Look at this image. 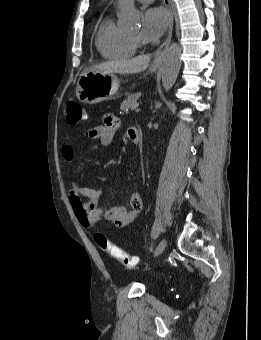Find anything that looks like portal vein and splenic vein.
<instances>
[{"label": "portal vein and splenic vein", "mask_w": 261, "mask_h": 340, "mask_svg": "<svg viewBox=\"0 0 261 340\" xmlns=\"http://www.w3.org/2000/svg\"><path fill=\"white\" fill-rule=\"evenodd\" d=\"M140 111H141V109H140L139 105H135V112H140Z\"/></svg>", "instance_id": "portal-vein-and-splenic-vein-1"}]
</instances>
